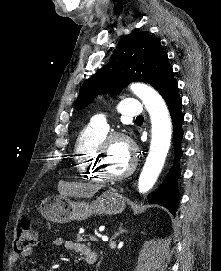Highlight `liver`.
<instances>
[{
    "mask_svg": "<svg viewBox=\"0 0 221 271\" xmlns=\"http://www.w3.org/2000/svg\"><path fill=\"white\" fill-rule=\"evenodd\" d=\"M70 195H81V197H89V195H92L96 189H100V187H94V185H91V187H87L86 183H81V185H70L69 187Z\"/></svg>",
    "mask_w": 221,
    "mask_h": 271,
    "instance_id": "obj_1",
    "label": "liver"
}]
</instances>
